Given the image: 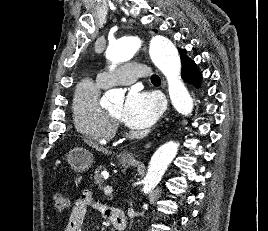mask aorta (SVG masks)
Here are the masks:
<instances>
[{
	"label": "aorta",
	"mask_w": 268,
	"mask_h": 231,
	"mask_svg": "<svg viewBox=\"0 0 268 231\" xmlns=\"http://www.w3.org/2000/svg\"><path fill=\"white\" fill-rule=\"evenodd\" d=\"M140 47L137 37H124L111 43L106 50V57L111 62L110 70L117 64L133 58ZM149 55L153 63L165 75L168 82L170 99L175 110L181 115H189L193 110L192 98L181 80V61L175 45L164 36L151 39ZM124 92L111 89L105 93V104L110 101H121ZM179 144L173 141L161 145L153 154L144 178L143 192L150 193L161 181L167 167L175 158Z\"/></svg>",
	"instance_id": "1"
}]
</instances>
